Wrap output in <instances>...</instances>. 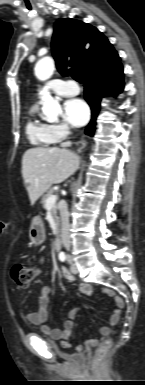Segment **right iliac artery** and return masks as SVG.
<instances>
[{"mask_svg":"<svg viewBox=\"0 0 145 385\" xmlns=\"http://www.w3.org/2000/svg\"><path fill=\"white\" fill-rule=\"evenodd\" d=\"M59 259H60V261H62V262H64V261L66 260V255H65L64 252H60V254H59Z\"/></svg>","mask_w":145,"mask_h":385,"instance_id":"right-iliac-artery-1","label":"right iliac artery"}]
</instances>
